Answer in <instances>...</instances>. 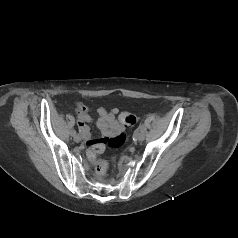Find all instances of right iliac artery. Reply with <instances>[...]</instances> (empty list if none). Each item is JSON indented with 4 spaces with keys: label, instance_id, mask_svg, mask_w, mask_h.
Returning a JSON list of instances; mask_svg holds the SVG:
<instances>
[{
    "label": "right iliac artery",
    "instance_id": "82829eb1",
    "mask_svg": "<svg viewBox=\"0 0 238 238\" xmlns=\"http://www.w3.org/2000/svg\"><path fill=\"white\" fill-rule=\"evenodd\" d=\"M71 135H72V136H75V135H76V130H72V131H71Z\"/></svg>",
    "mask_w": 238,
    "mask_h": 238
}]
</instances>
